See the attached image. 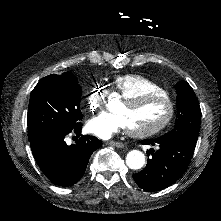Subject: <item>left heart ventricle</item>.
<instances>
[{
  "instance_id": "b2bd125f",
  "label": "left heart ventricle",
  "mask_w": 221,
  "mask_h": 221,
  "mask_svg": "<svg viewBox=\"0 0 221 221\" xmlns=\"http://www.w3.org/2000/svg\"><path fill=\"white\" fill-rule=\"evenodd\" d=\"M161 116L162 107L157 102L151 101L139 105L135 120H138L142 125H144L147 122L157 121Z\"/></svg>"
}]
</instances>
